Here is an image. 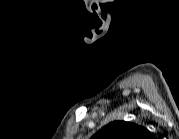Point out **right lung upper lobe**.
<instances>
[{"label": "right lung upper lobe", "mask_w": 179, "mask_h": 139, "mask_svg": "<svg viewBox=\"0 0 179 139\" xmlns=\"http://www.w3.org/2000/svg\"><path fill=\"white\" fill-rule=\"evenodd\" d=\"M151 133L145 127L125 121H114L103 127L92 139H149Z\"/></svg>", "instance_id": "cb5924a9"}]
</instances>
